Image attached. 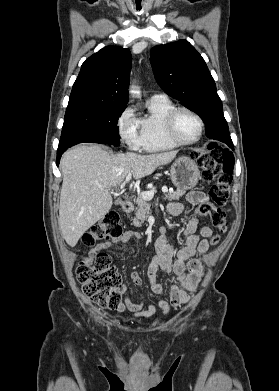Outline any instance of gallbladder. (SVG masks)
I'll return each mask as SVG.
<instances>
[{"mask_svg": "<svg viewBox=\"0 0 279 391\" xmlns=\"http://www.w3.org/2000/svg\"><path fill=\"white\" fill-rule=\"evenodd\" d=\"M115 204H116V205H120V204H121V201H120V200H116V201H115Z\"/></svg>", "mask_w": 279, "mask_h": 391, "instance_id": "gallbladder-1", "label": "gallbladder"}]
</instances>
